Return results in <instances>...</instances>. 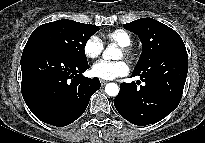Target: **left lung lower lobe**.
Wrapping results in <instances>:
<instances>
[{"mask_svg": "<svg viewBox=\"0 0 205 143\" xmlns=\"http://www.w3.org/2000/svg\"><path fill=\"white\" fill-rule=\"evenodd\" d=\"M188 72V55L184 44L168 48L146 70L134 71L145 84H120L114 106L127 121L145 126L161 121L179 104ZM137 84V85H136Z\"/></svg>", "mask_w": 205, "mask_h": 143, "instance_id": "obj_1", "label": "left lung lower lobe"}]
</instances>
